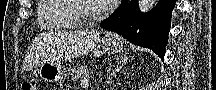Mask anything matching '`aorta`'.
I'll use <instances>...</instances> for the list:
<instances>
[{
  "label": "aorta",
  "instance_id": "762f6f07",
  "mask_svg": "<svg viewBox=\"0 0 216 90\" xmlns=\"http://www.w3.org/2000/svg\"><path fill=\"white\" fill-rule=\"evenodd\" d=\"M155 2L156 0H139L138 2L139 12H142V14H146V12H150Z\"/></svg>",
  "mask_w": 216,
  "mask_h": 90
}]
</instances>
